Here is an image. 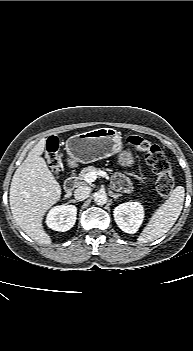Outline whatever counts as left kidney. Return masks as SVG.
Listing matches in <instances>:
<instances>
[{
    "label": "left kidney",
    "mask_w": 193,
    "mask_h": 351,
    "mask_svg": "<svg viewBox=\"0 0 193 351\" xmlns=\"http://www.w3.org/2000/svg\"><path fill=\"white\" fill-rule=\"evenodd\" d=\"M114 220L118 227L128 234L138 231L144 219V208L139 202H126L115 207Z\"/></svg>",
    "instance_id": "obj_1"
}]
</instances>
